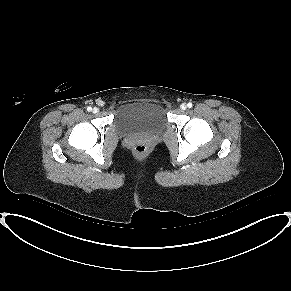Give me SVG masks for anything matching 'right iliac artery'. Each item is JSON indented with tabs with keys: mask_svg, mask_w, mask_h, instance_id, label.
<instances>
[{
	"mask_svg": "<svg viewBox=\"0 0 291 291\" xmlns=\"http://www.w3.org/2000/svg\"><path fill=\"white\" fill-rule=\"evenodd\" d=\"M87 111H88V112L92 111V107H91V106H88V107H87Z\"/></svg>",
	"mask_w": 291,
	"mask_h": 291,
	"instance_id": "1",
	"label": "right iliac artery"
}]
</instances>
